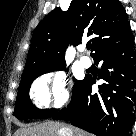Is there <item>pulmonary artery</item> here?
<instances>
[{"instance_id": "pulmonary-artery-1", "label": "pulmonary artery", "mask_w": 136, "mask_h": 136, "mask_svg": "<svg viewBox=\"0 0 136 136\" xmlns=\"http://www.w3.org/2000/svg\"><path fill=\"white\" fill-rule=\"evenodd\" d=\"M80 63H81V65H82L83 67H85V68H89V67L91 66V60H90V58L87 57V56H82V57L80 58Z\"/></svg>"}]
</instances>
